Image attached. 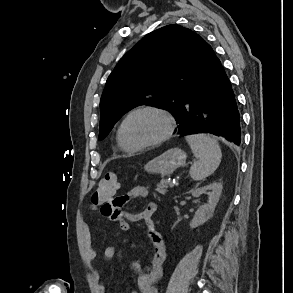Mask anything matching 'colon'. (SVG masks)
I'll return each mask as SVG.
<instances>
[{"label":"colon","mask_w":293,"mask_h":293,"mask_svg":"<svg viewBox=\"0 0 293 293\" xmlns=\"http://www.w3.org/2000/svg\"><path fill=\"white\" fill-rule=\"evenodd\" d=\"M120 186L119 174L117 172L107 173L95 187L91 196V206L94 208H104L107 204H115L114 197Z\"/></svg>","instance_id":"colon-1"}]
</instances>
